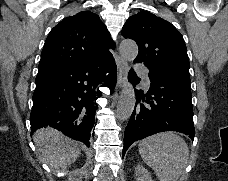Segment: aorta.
Segmentation results:
<instances>
[{"label": "aorta", "instance_id": "762f6f07", "mask_svg": "<svg viewBox=\"0 0 228 181\" xmlns=\"http://www.w3.org/2000/svg\"><path fill=\"white\" fill-rule=\"evenodd\" d=\"M121 56L128 62H132L138 55V46L133 40L125 39L119 46ZM135 107V91L130 83H125L120 94L116 114L119 121L130 118Z\"/></svg>", "mask_w": 228, "mask_h": 181}]
</instances>
